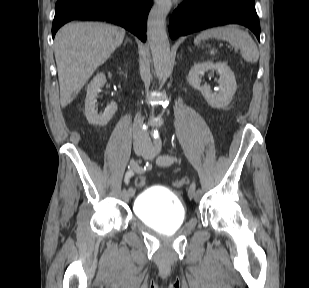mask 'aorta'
<instances>
[{
	"mask_svg": "<svg viewBox=\"0 0 309 288\" xmlns=\"http://www.w3.org/2000/svg\"><path fill=\"white\" fill-rule=\"evenodd\" d=\"M171 6V0H158L148 15L147 38L158 74L165 71L169 61L170 44L166 33V17Z\"/></svg>",
	"mask_w": 309,
	"mask_h": 288,
	"instance_id": "762f6f07",
	"label": "aorta"
}]
</instances>
